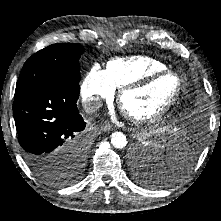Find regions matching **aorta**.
Returning a JSON list of instances; mask_svg holds the SVG:
<instances>
[{"label": "aorta", "mask_w": 221, "mask_h": 221, "mask_svg": "<svg viewBox=\"0 0 221 221\" xmlns=\"http://www.w3.org/2000/svg\"><path fill=\"white\" fill-rule=\"evenodd\" d=\"M111 144L117 149L124 148L127 144L126 136L121 132H113L111 134ZM143 148L146 151V148Z\"/></svg>", "instance_id": "aorta-1"}]
</instances>
